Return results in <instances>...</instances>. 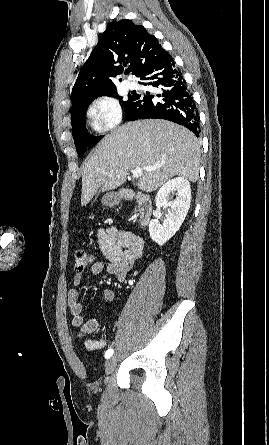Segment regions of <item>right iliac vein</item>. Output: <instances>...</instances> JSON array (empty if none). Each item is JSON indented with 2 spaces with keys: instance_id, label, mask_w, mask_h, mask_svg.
Instances as JSON below:
<instances>
[{
  "instance_id": "right-iliac-vein-1",
  "label": "right iliac vein",
  "mask_w": 269,
  "mask_h": 445,
  "mask_svg": "<svg viewBox=\"0 0 269 445\" xmlns=\"http://www.w3.org/2000/svg\"><path fill=\"white\" fill-rule=\"evenodd\" d=\"M117 364V359L116 357H111L109 358L106 363H105V371L107 374H110L113 372V370L115 369Z\"/></svg>"
}]
</instances>
